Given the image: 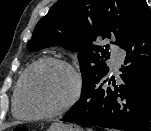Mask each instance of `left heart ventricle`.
Instances as JSON below:
<instances>
[{"mask_svg":"<svg viewBox=\"0 0 151 131\" xmlns=\"http://www.w3.org/2000/svg\"><path fill=\"white\" fill-rule=\"evenodd\" d=\"M69 73L57 65H45L34 70L26 83L22 108L28 113H48L61 106L70 94Z\"/></svg>","mask_w":151,"mask_h":131,"instance_id":"b2bd125f","label":"left heart ventricle"}]
</instances>
